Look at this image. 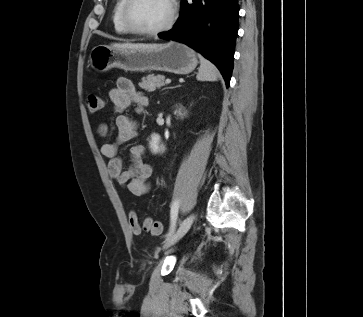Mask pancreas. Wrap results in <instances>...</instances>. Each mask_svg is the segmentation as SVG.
Segmentation results:
<instances>
[{"mask_svg":"<svg viewBox=\"0 0 363 317\" xmlns=\"http://www.w3.org/2000/svg\"><path fill=\"white\" fill-rule=\"evenodd\" d=\"M165 77L163 75L150 74L147 77L142 78V82L139 86L149 92H153L156 88H161L165 85Z\"/></svg>","mask_w":363,"mask_h":317,"instance_id":"cf45deb5","label":"pancreas"}]
</instances>
